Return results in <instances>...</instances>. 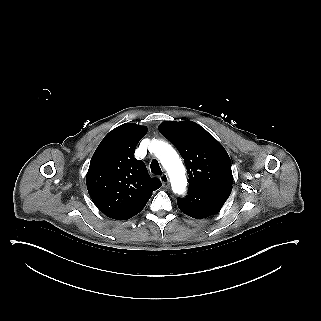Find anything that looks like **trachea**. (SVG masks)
Returning a JSON list of instances; mask_svg holds the SVG:
<instances>
[{"instance_id": "obj_1", "label": "trachea", "mask_w": 321, "mask_h": 321, "mask_svg": "<svg viewBox=\"0 0 321 321\" xmlns=\"http://www.w3.org/2000/svg\"><path fill=\"white\" fill-rule=\"evenodd\" d=\"M151 172L155 175H162V170L160 168V165L156 159L152 160L150 164Z\"/></svg>"}]
</instances>
